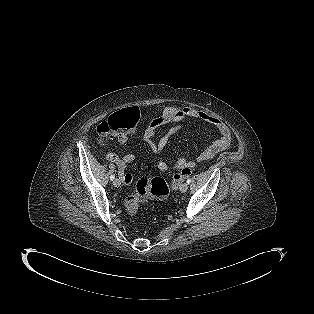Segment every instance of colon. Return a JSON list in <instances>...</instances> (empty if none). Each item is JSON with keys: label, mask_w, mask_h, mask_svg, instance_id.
Masks as SVG:
<instances>
[{"label": "colon", "mask_w": 314, "mask_h": 314, "mask_svg": "<svg viewBox=\"0 0 314 314\" xmlns=\"http://www.w3.org/2000/svg\"><path fill=\"white\" fill-rule=\"evenodd\" d=\"M138 120V109L133 106L126 107L113 113L107 120L103 121L98 127V132L102 138L114 134H126L136 127ZM191 173L192 168L190 166L184 167L174 175L172 187L177 188L182 180ZM169 192L170 187L162 178L153 175L144 176L137 181L134 193L125 198V209L128 213L134 214L141 203L146 202L151 197L164 200L169 195Z\"/></svg>", "instance_id": "5ec220e1"}]
</instances>
